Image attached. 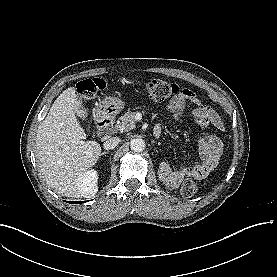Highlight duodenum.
I'll list each match as a JSON object with an SVG mask.
<instances>
[{
	"mask_svg": "<svg viewBox=\"0 0 277 277\" xmlns=\"http://www.w3.org/2000/svg\"><path fill=\"white\" fill-rule=\"evenodd\" d=\"M96 122H97L96 123L97 127L100 131H107L114 124L113 119H110V118H107V117L104 116V110L103 109H99L98 114H97V118H96ZM160 134H161L160 129H156V130L153 131V137L156 138V139L160 137Z\"/></svg>",
	"mask_w": 277,
	"mask_h": 277,
	"instance_id": "obj_1",
	"label": "duodenum"
}]
</instances>
